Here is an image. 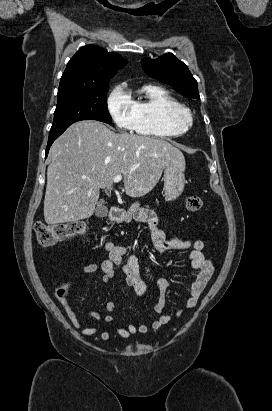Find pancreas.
Returning a JSON list of instances; mask_svg holds the SVG:
<instances>
[{
    "instance_id": "pancreas-1",
    "label": "pancreas",
    "mask_w": 272,
    "mask_h": 411,
    "mask_svg": "<svg viewBox=\"0 0 272 411\" xmlns=\"http://www.w3.org/2000/svg\"><path fill=\"white\" fill-rule=\"evenodd\" d=\"M139 210H141V208L138 202L132 204L125 215L126 220H131L132 216H134Z\"/></svg>"
}]
</instances>
